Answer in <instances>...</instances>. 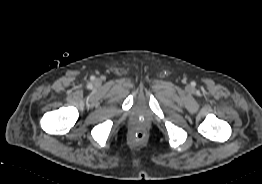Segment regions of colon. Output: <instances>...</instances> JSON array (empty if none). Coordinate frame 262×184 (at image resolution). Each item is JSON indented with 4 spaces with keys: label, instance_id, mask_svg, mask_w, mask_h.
Here are the masks:
<instances>
[{
    "label": "colon",
    "instance_id": "obj_1",
    "mask_svg": "<svg viewBox=\"0 0 262 184\" xmlns=\"http://www.w3.org/2000/svg\"><path fill=\"white\" fill-rule=\"evenodd\" d=\"M132 139L136 143H141L146 139V134L141 128H136L132 134Z\"/></svg>",
    "mask_w": 262,
    "mask_h": 184
}]
</instances>
